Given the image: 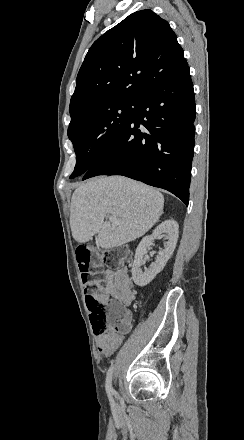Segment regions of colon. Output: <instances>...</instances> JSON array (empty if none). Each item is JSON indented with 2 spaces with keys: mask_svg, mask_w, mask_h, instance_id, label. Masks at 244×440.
Returning <instances> with one entry per match:
<instances>
[{
  "mask_svg": "<svg viewBox=\"0 0 244 440\" xmlns=\"http://www.w3.org/2000/svg\"><path fill=\"white\" fill-rule=\"evenodd\" d=\"M108 258L103 263L102 256L98 255L96 262H90L93 254L88 247L76 248L77 270L82 272L84 286V301L86 303V313H91L92 319H106L105 327L115 334L124 333L128 326V319L131 317L128 305L116 303L99 304L94 293L97 286L101 283L102 272H114L115 267H122L123 257H129L131 251L129 248H109L106 252Z\"/></svg>",
  "mask_w": 244,
  "mask_h": 440,
  "instance_id": "obj_1",
  "label": "colon"
}]
</instances>
